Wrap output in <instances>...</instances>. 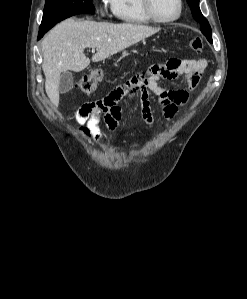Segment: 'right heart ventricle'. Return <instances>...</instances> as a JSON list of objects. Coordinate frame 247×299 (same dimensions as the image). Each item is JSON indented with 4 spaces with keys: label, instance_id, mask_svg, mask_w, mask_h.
<instances>
[{
    "label": "right heart ventricle",
    "instance_id": "obj_1",
    "mask_svg": "<svg viewBox=\"0 0 247 299\" xmlns=\"http://www.w3.org/2000/svg\"><path fill=\"white\" fill-rule=\"evenodd\" d=\"M111 13L128 24H151L153 20L146 14L142 0H108Z\"/></svg>",
    "mask_w": 247,
    "mask_h": 299
}]
</instances>
